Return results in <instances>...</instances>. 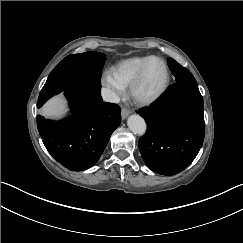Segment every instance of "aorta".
Here are the masks:
<instances>
[{
	"label": "aorta",
	"instance_id": "1",
	"mask_svg": "<svg viewBox=\"0 0 243 243\" xmlns=\"http://www.w3.org/2000/svg\"><path fill=\"white\" fill-rule=\"evenodd\" d=\"M127 124L130 131L135 135H139V136L145 135L147 130V125L145 120L142 117L138 115H133L129 117Z\"/></svg>",
	"mask_w": 243,
	"mask_h": 243
}]
</instances>
